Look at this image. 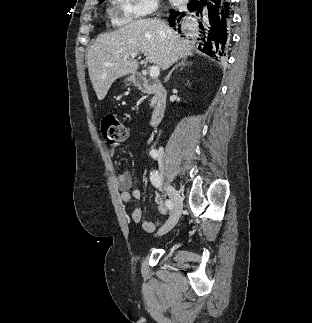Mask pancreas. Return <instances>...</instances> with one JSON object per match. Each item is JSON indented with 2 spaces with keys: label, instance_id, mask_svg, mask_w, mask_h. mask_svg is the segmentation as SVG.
<instances>
[{
  "label": "pancreas",
  "instance_id": "pancreas-1",
  "mask_svg": "<svg viewBox=\"0 0 312 323\" xmlns=\"http://www.w3.org/2000/svg\"><path fill=\"white\" fill-rule=\"evenodd\" d=\"M155 102H156V98H153V100H151V104H150L151 108H153Z\"/></svg>",
  "mask_w": 312,
  "mask_h": 323
}]
</instances>
